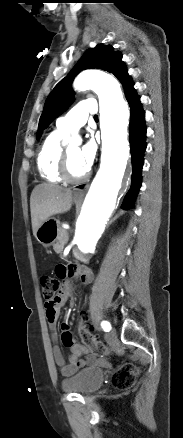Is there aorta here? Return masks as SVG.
<instances>
[{
  "mask_svg": "<svg viewBox=\"0 0 183 438\" xmlns=\"http://www.w3.org/2000/svg\"><path fill=\"white\" fill-rule=\"evenodd\" d=\"M77 91L94 90L99 97L102 155L100 168L91 183L76 221L75 243L88 254L112 215L129 157L127 127L130 112L119 82L110 75L85 71L75 81Z\"/></svg>",
  "mask_w": 183,
  "mask_h": 438,
  "instance_id": "obj_1",
  "label": "aorta"
}]
</instances>
